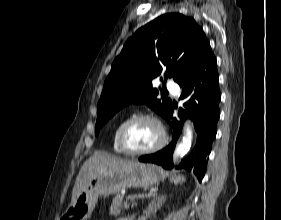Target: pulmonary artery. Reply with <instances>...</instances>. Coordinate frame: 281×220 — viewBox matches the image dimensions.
<instances>
[{
  "instance_id": "pulmonary-artery-1",
  "label": "pulmonary artery",
  "mask_w": 281,
  "mask_h": 220,
  "mask_svg": "<svg viewBox=\"0 0 281 220\" xmlns=\"http://www.w3.org/2000/svg\"><path fill=\"white\" fill-rule=\"evenodd\" d=\"M167 89L174 95L179 93V86L173 81L167 83Z\"/></svg>"
}]
</instances>
